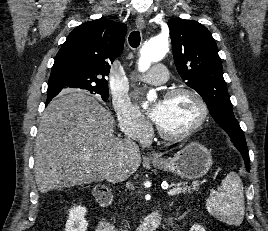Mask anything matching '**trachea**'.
<instances>
[{
    "label": "trachea",
    "instance_id": "1",
    "mask_svg": "<svg viewBox=\"0 0 268 231\" xmlns=\"http://www.w3.org/2000/svg\"><path fill=\"white\" fill-rule=\"evenodd\" d=\"M140 32L139 31H133L130 33L129 36V44L133 48H137L140 45Z\"/></svg>",
    "mask_w": 268,
    "mask_h": 231
}]
</instances>
